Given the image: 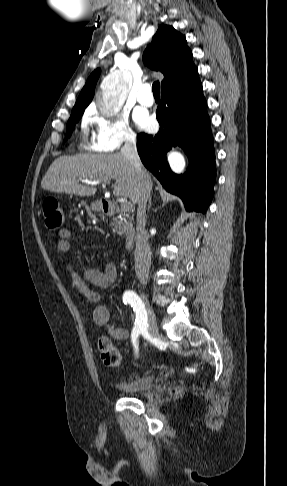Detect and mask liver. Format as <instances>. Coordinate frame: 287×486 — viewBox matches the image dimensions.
<instances>
[{
	"label": "liver",
	"instance_id": "1",
	"mask_svg": "<svg viewBox=\"0 0 287 486\" xmlns=\"http://www.w3.org/2000/svg\"><path fill=\"white\" fill-rule=\"evenodd\" d=\"M116 181L114 195L137 203L138 181L134 167L121 153L80 154L54 160L41 181L44 190L78 196H92L97 189L79 181Z\"/></svg>",
	"mask_w": 287,
	"mask_h": 486
}]
</instances>
